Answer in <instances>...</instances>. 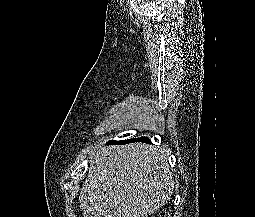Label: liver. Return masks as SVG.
I'll return each mask as SVG.
<instances>
[{"label":"liver","mask_w":255,"mask_h":217,"mask_svg":"<svg viewBox=\"0 0 255 217\" xmlns=\"http://www.w3.org/2000/svg\"><path fill=\"white\" fill-rule=\"evenodd\" d=\"M173 188L163 148L109 146L92 156L80 208L84 217H147L168 202Z\"/></svg>","instance_id":"1"}]
</instances>
